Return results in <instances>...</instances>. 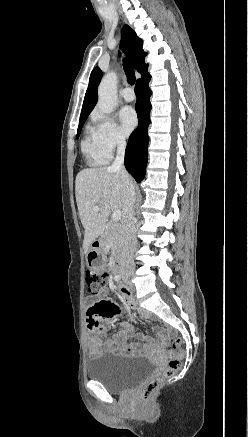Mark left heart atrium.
I'll use <instances>...</instances> for the list:
<instances>
[{"label": "left heart atrium", "mask_w": 248, "mask_h": 437, "mask_svg": "<svg viewBox=\"0 0 248 437\" xmlns=\"http://www.w3.org/2000/svg\"><path fill=\"white\" fill-rule=\"evenodd\" d=\"M122 132L128 135L137 124V116L131 107H124L119 112Z\"/></svg>", "instance_id": "left-heart-atrium-1"}]
</instances>
